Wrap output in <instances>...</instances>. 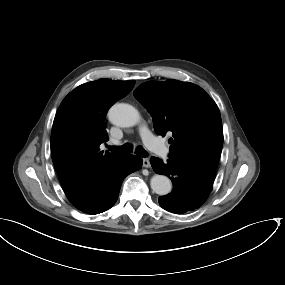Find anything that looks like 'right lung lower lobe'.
Segmentation results:
<instances>
[{
  "instance_id": "obj_1",
  "label": "right lung lower lobe",
  "mask_w": 285,
  "mask_h": 285,
  "mask_svg": "<svg viewBox=\"0 0 285 285\" xmlns=\"http://www.w3.org/2000/svg\"><path fill=\"white\" fill-rule=\"evenodd\" d=\"M138 156H127L125 161L110 170L96 185L73 205L88 214H99L110 209L116 202L124 178L142 167Z\"/></svg>"
}]
</instances>
